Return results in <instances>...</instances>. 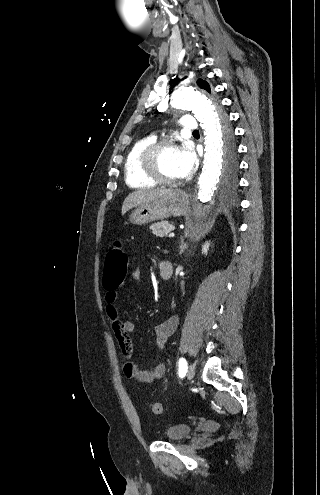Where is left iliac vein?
Instances as JSON below:
<instances>
[{"mask_svg":"<svg viewBox=\"0 0 320 495\" xmlns=\"http://www.w3.org/2000/svg\"><path fill=\"white\" fill-rule=\"evenodd\" d=\"M195 376V367L193 365H189L187 370V378L192 379Z\"/></svg>","mask_w":320,"mask_h":495,"instance_id":"4c4485c4","label":"left iliac vein"}]
</instances>
